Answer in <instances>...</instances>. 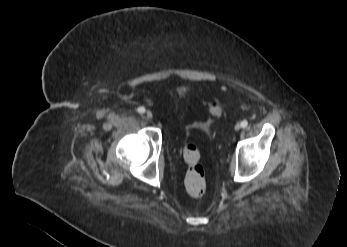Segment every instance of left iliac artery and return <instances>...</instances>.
Returning a JSON list of instances; mask_svg holds the SVG:
<instances>
[{"mask_svg":"<svg viewBox=\"0 0 347 247\" xmlns=\"http://www.w3.org/2000/svg\"><path fill=\"white\" fill-rule=\"evenodd\" d=\"M247 125H248V121H247V120H243V121L241 122L242 128L247 127Z\"/></svg>","mask_w":347,"mask_h":247,"instance_id":"left-iliac-artery-1","label":"left iliac artery"}]
</instances>
